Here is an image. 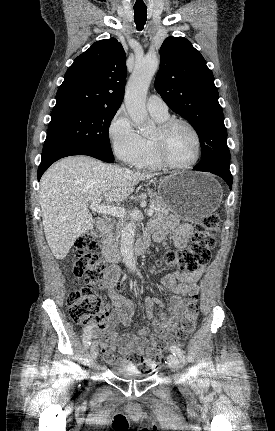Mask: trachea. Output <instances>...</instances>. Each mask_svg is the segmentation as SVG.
<instances>
[{
  "label": "trachea",
  "mask_w": 275,
  "mask_h": 431,
  "mask_svg": "<svg viewBox=\"0 0 275 431\" xmlns=\"http://www.w3.org/2000/svg\"><path fill=\"white\" fill-rule=\"evenodd\" d=\"M147 20L146 8H134V21L138 31H142Z\"/></svg>",
  "instance_id": "obj_1"
}]
</instances>
